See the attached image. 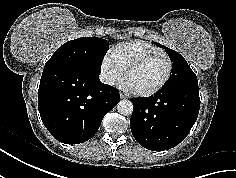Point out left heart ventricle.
<instances>
[{
    "label": "left heart ventricle",
    "instance_id": "1",
    "mask_svg": "<svg viewBox=\"0 0 236 178\" xmlns=\"http://www.w3.org/2000/svg\"><path fill=\"white\" fill-rule=\"evenodd\" d=\"M168 67V60L164 56L153 57L130 72L125 83L138 91L152 89L164 79Z\"/></svg>",
    "mask_w": 236,
    "mask_h": 178
}]
</instances>
